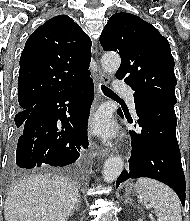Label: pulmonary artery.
Instances as JSON below:
<instances>
[{"mask_svg": "<svg viewBox=\"0 0 190 221\" xmlns=\"http://www.w3.org/2000/svg\"><path fill=\"white\" fill-rule=\"evenodd\" d=\"M115 89L122 92L125 96V99L131 109V111L133 113H135V102H134V95H133V91L128 88L125 87L122 83L120 82H116L115 84Z\"/></svg>", "mask_w": 190, "mask_h": 221, "instance_id": "obj_1", "label": "pulmonary artery"}]
</instances>
